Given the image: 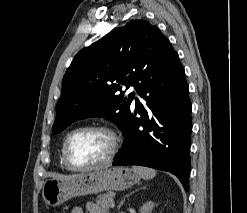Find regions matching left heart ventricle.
Here are the masks:
<instances>
[{
    "label": "left heart ventricle",
    "instance_id": "obj_1",
    "mask_svg": "<svg viewBox=\"0 0 247 213\" xmlns=\"http://www.w3.org/2000/svg\"><path fill=\"white\" fill-rule=\"evenodd\" d=\"M111 149V138L101 131H84L75 134L68 146L71 160L80 166L103 161Z\"/></svg>",
    "mask_w": 247,
    "mask_h": 213
}]
</instances>
